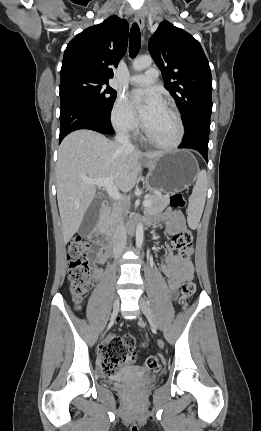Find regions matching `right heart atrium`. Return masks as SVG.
<instances>
[{"instance_id":"obj_1","label":"right heart atrium","mask_w":261,"mask_h":431,"mask_svg":"<svg viewBox=\"0 0 261 431\" xmlns=\"http://www.w3.org/2000/svg\"><path fill=\"white\" fill-rule=\"evenodd\" d=\"M111 122L113 127L120 132L130 133L137 129V119L125 98L119 97L115 101L111 111Z\"/></svg>"}]
</instances>
